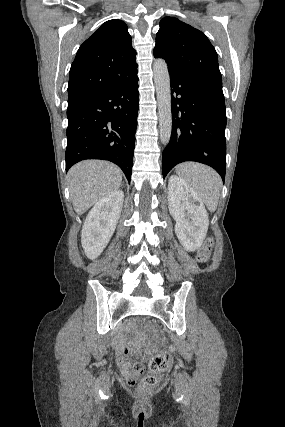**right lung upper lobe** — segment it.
<instances>
[{
    "instance_id": "right-lung-upper-lobe-1",
    "label": "right lung upper lobe",
    "mask_w": 285,
    "mask_h": 427,
    "mask_svg": "<svg viewBox=\"0 0 285 427\" xmlns=\"http://www.w3.org/2000/svg\"><path fill=\"white\" fill-rule=\"evenodd\" d=\"M126 24L105 22L79 48L69 73L68 102L125 84L137 76Z\"/></svg>"
}]
</instances>
